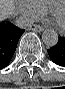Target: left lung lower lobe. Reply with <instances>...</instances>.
Segmentation results:
<instances>
[{
  "instance_id": "0a47b994",
  "label": "left lung lower lobe",
  "mask_w": 65,
  "mask_h": 89,
  "mask_svg": "<svg viewBox=\"0 0 65 89\" xmlns=\"http://www.w3.org/2000/svg\"><path fill=\"white\" fill-rule=\"evenodd\" d=\"M47 52L54 63L65 67V36L60 37L58 43Z\"/></svg>"
}]
</instances>
